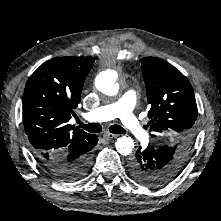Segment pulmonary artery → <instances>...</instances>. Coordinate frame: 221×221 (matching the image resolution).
<instances>
[{
	"label": "pulmonary artery",
	"mask_w": 221,
	"mask_h": 221,
	"mask_svg": "<svg viewBox=\"0 0 221 221\" xmlns=\"http://www.w3.org/2000/svg\"><path fill=\"white\" fill-rule=\"evenodd\" d=\"M136 93L133 90L126 91L119 100L100 106L84 115V118L93 122L109 121L119 117L124 128L134 137L144 139L147 131L141 121L134 114Z\"/></svg>",
	"instance_id": "pulmonary-artery-1"
}]
</instances>
